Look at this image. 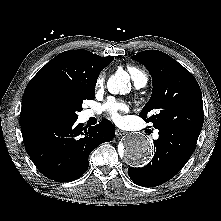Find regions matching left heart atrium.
I'll list each match as a JSON object with an SVG mask.
<instances>
[{"mask_svg":"<svg viewBox=\"0 0 221 221\" xmlns=\"http://www.w3.org/2000/svg\"><path fill=\"white\" fill-rule=\"evenodd\" d=\"M128 109L125 102L115 99H109L104 105L105 112L116 123L121 122V113L127 112Z\"/></svg>","mask_w":221,"mask_h":221,"instance_id":"39dd6f15","label":"left heart atrium"}]
</instances>
